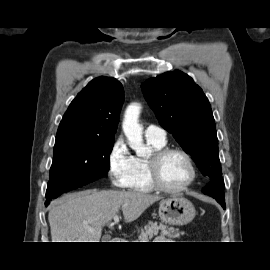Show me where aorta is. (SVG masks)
I'll use <instances>...</instances> for the list:
<instances>
[{"label": "aorta", "mask_w": 270, "mask_h": 270, "mask_svg": "<svg viewBox=\"0 0 270 270\" xmlns=\"http://www.w3.org/2000/svg\"><path fill=\"white\" fill-rule=\"evenodd\" d=\"M140 112L141 106L139 104L129 105L124 114L122 128L129 146L136 152V155L145 157L149 153V148L143 143V128L139 124Z\"/></svg>", "instance_id": "aorta-1"}]
</instances>
